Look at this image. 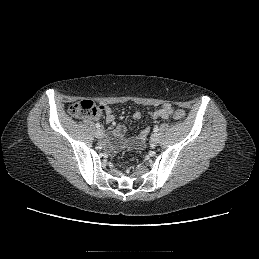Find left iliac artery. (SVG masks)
I'll return each instance as SVG.
<instances>
[{"label": "left iliac artery", "mask_w": 259, "mask_h": 259, "mask_svg": "<svg viewBox=\"0 0 259 259\" xmlns=\"http://www.w3.org/2000/svg\"><path fill=\"white\" fill-rule=\"evenodd\" d=\"M159 131V128L156 126L154 127V132H158Z\"/></svg>", "instance_id": "obj_1"}]
</instances>
